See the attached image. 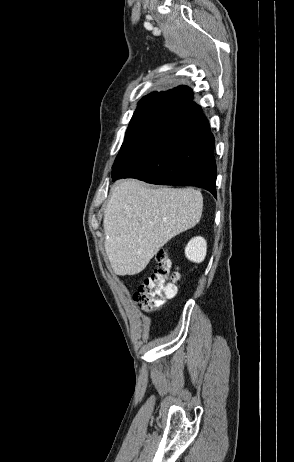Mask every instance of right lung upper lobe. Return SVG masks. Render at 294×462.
<instances>
[{
	"label": "right lung upper lobe",
	"instance_id": "right-lung-upper-lobe-1",
	"mask_svg": "<svg viewBox=\"0 0 294 462\" xmlns=\"http://www.w3.org/2000/svg\"><path fill=\"white\" fill-rule=\"evenodd\" d=\"M192 93V91L190 90V88L186 87V86H178L170 91H166V92H153L145 97H143L139 102H138V105H141V104H146V103H149V102H152V101H155V100H158V99H162V98H167V97H177V98H180V99H183V100H187L188 99V96Z\"/></svg>",
	"mask_w": 294,
	"mask_h": 462
}]
</instances>
